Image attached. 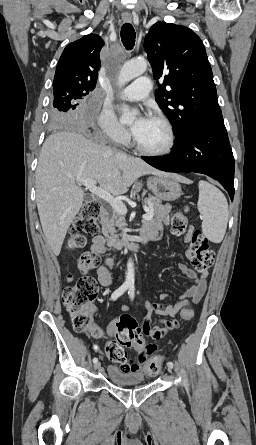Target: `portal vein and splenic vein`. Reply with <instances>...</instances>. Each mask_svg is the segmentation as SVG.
I'll return each mask as SVG.
<instances>
[{
    "instance_id": "18ae733b",
    "label": "portal vein and splenic vein",
    "mask_w": 256,
    "mask_h": 445,
    "mask_svg": "<svg viewBox=\"0 0 256 445\" xmlns=\"http://www.w3.org/2000/svg\"><path fill=\"white\" fill-rule=\"evenodd\" d=\"M77 182L81 183L82 185H84L87 189H89V191L100 197L101 199L105 200L106 202H108L111 207L116 210L118 213L125 215L127 213V208L124 205V203L116 198H114L111 193H109L108 191L104 190L101 187H98L97 181H95L94 179H79L77 180ZM154 216V212L152 209H146V213L143 215V219L144 220H151Z\"/></svg>"
}]
</instances>
